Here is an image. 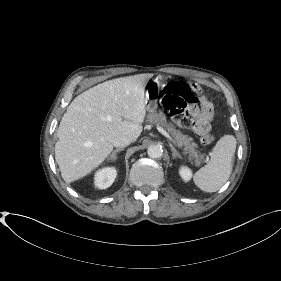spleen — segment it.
<instances>
[{
  "mask_svg": "<svg viewBox=\"0 0 281 281\" xmlns=\"http://www.w3.org/2000/svg\"><path fill=\"white\" fill-rule=\"evenodd\" d=\"M233 135L221 137L210 153V160L193 177L194 183L204 192L218 191L229 179L236 149Z\"/></svg>",
  "mask_w": 281,
  "mask_h": 281,
  "instance_id": "obj_1",
  "label": "spleen"
}]
</instances>
